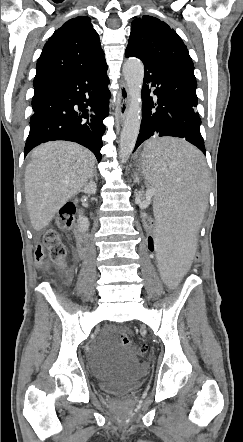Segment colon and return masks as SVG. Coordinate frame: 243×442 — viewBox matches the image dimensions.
I'll return each instance as SVG.
<instances>
[{
  "label": "colon",
  "instance_id": "1",
  "mask_svg": "<svg viewBox=\"0 0 243 442\" xmlns=\"http://www.w3.org/2000/svg\"><path fill=\"white\" fill-rule=\"evenodd\" d=\"M73 214H74V205L72 203L64 204L59 212V217L57 219V226L59 228H69L73 222ZM142 224L145 226L144 228V241L145 253H153L155 251V247L157 243L155 242V236L159 234L157 229L152 228L150 225L157 224L156 216H147L146 219L142 221ZM66 247L62 241V237L59 232L50 228L45 232L43 242L37 245L35 251V260L36 263L40 266L45 265L46 258L62 263L66 257ZM190 260L192 262L200 263L203 260L202 255L198 253V251L193 250L190 252ZM120 341L122 345L126 347H133V342L126 334H122L120 336ZM138 355L144 357L146 355L147 349L145 346H140L136 348Z\"/></svg>",
  "mask_w": 243,
  "mask_h": 442
}]
</instances>
